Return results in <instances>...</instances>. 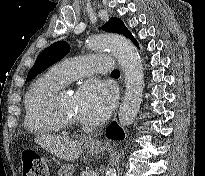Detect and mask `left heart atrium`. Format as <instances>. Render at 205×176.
Listing matches in <instances>:
<instances>
[{
  "label": "left heart atrium",
  "mask_w": 205,
  "mask_h": 176,
  "mask_svg": "<svg viewBox=\"0 0 205 176\" xmlns=\"http://www.w3.org/2000/svg\"><path fill=\"white\" fill-rule=\"evenodd\" d=\"M115 99V91L110 86L90 79L77 92L76 110L82 120L100 123L110 114Z\"/></svg>",
  "instance_id": "39dd6f15"
}]
</instances>
